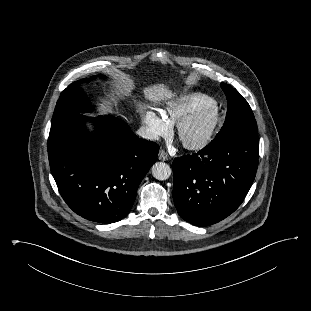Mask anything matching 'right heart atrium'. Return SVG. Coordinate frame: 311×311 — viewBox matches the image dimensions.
Segmentation results:
<instances>
[{"label":"right heart atrium","mask_w":311,"mask_h":311,"mask_svg":"<svg viewBox=\"0 0 311 311\" xmlns=\"http://www.w3.org/2000/svg\"><path fill=\"white\" fill-rule=\"evenodd\" d=\"M143 123L146 127L147 135L151 139H159L167 136L171 132V126L152 111H146L143 114Z\"/></svg>","instance_id":"d8ad5b80"}]
</instances>
